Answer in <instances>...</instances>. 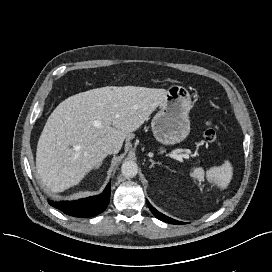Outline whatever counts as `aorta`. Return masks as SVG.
I'll return each instance as SVG.
<instances>
[{
  "mask_svg": "<svg viewBox=\"0 0 272 272\" xmlns=\"http://www.w3.org/2000/svg\"><path fill=\"white\" fill-rule=\"evenodd\" d=\"M121 172L127 178L135 177L138 173V166L134 161H125L121 166Z\"/></svg>",
  "mask_w": 272,
  "mask_h": 272,
  "instance_id": "762f6f07",
  "label": "aorta"
}]
</instances>
